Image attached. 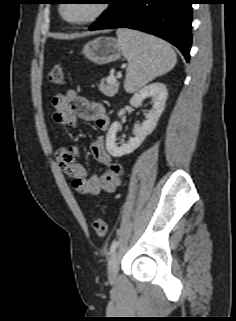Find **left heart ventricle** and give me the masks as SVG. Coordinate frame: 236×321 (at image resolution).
Masks as SVG:
<instances>
[{"label":"left heart ventricle","instance_id":"1","mask_svg":"<svg viewBox=\"0 0 236 321\" xmlns=\"http://www.w3.org/2000/svg\"><path fill=\"white\" fill-rule=\"evenodd\" d=\"M96 8V1L78 0L65 6L64 15L68 19H81L89 16Z\"/></svg>","mask_w":236,"mask_h":321}]
</instances>
